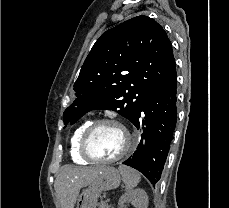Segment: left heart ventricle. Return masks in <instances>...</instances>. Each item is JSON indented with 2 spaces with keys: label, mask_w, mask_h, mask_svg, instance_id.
Returning <instances> with one entry per match:
<instances>
[{
  "label": "left heart ventricle",
  "mask_w": 229,
  "mask_h": 208,
  "mask_svg": "<svg viewBox=\"0 0 229 208\" xmlns=\"http://www.w3.org/2000/svg\"><path fill=\"white\" fill-rule=\"evenodd\" d=\"M125 142H128V137L121 128L106 124L95 130L88 140V152H91V157H99V160H110V157H117L125 149Z\"/></svg>",
  "instance_id": "1"
}]
</instances>
